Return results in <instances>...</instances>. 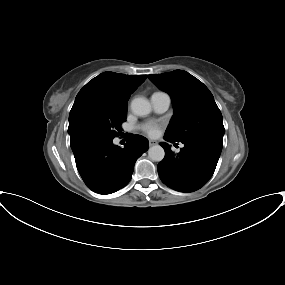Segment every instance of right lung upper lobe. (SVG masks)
Returning <instances> with one entry per match:
<instances>
[{"mask_svg":"<svg viewBox=\"0 0 285 285\" xmlns=\"http://www.w3.org/2000/svg\"><path fill=\"white\" fill-rule=\"evenodd\" d=\"M147 75H125L104 72L90 80L77 94L69 115V128L73 116L85 107H108L127 110L130 94Z\"/></svg>","mask_w":285,"mask_h":285,"instance_id":"right-lung-upper-lobe-1","label":"right lung upper lobe"}]
</instances>
